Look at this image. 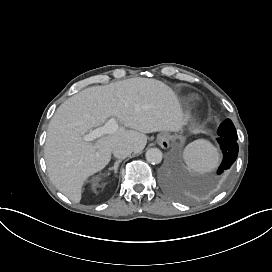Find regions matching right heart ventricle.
Returning a JSON list of instances; mask_svg holds the SVG:
<instances>
[{
    "mask_svg": "<svg viewBox=\"0 0 272 272\" xmlns=\"http://www.w3.org/2000/svg\"><path fill=\"white\" fill-rule=\"evenodd\" d=\"M193 98V95L191 93H187L185 96H184V99L187 100V101H190L192 100Z\"/></svg>",
    "mask_w": 272,
    "mask_h": 272,
    "instance_id": "obj_1",
    "label": "right heart ventricle"
}]
</instances>
